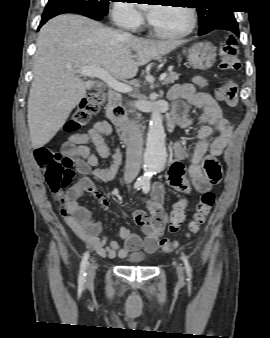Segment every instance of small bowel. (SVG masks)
I'll return each instance as SVG.
<instances>
[{"instance_id":"c3829d8e","label":"small bowel","mask_w":270,"mask_h":338,"mask_svg":"<svg viewBox=\"0 0 270 338\" xmlns=\"http://www.w3.org/2000/svg\"><path fill=\"white\" fill-rule=\"evenodd\" d=\"M207 79L197 76L192 83L177 84L172 87L169 99L173 103L174 113L170 120L183 128H190L194 120L185 117L182 109L186 104L199 108L201 113L196 118L200 124L198 129V141L193 147L190 163L186 168L183 160L187 157V150L182 141L173 146L175 160L167 170V184L177 192L184 194H202L211 190V186L220 180L219 174H213L204 170L202 163L206 159L220 157L227 148L233 134L229 125L225 129L219 128V122L223 118V110L215 97L206 92H198L197 88H205ZM217 136L212 139L214 132ZM113 132L111 123L107 120L97 121L87 133L72 134L62 146L63 157L71 158L80 178L71 185L66 193L58 197V202L69 227L93 249L99 256L113 259L116 256H124L127 252H140L152 254L157 250L159 238L165 221V212L162 206L164 187L160 182H155L152 188V198L147 203L149 218L141 223V216L146 212L140 209L134 210L131 217L142 225L144 238L130 232L123 227L120 230L124 239L122 245L118 241H110L102 237V224L94 219L90 212L84 209L79 200L84 194H91L103 209L108 208V201L97 191L93 178L100 181L111 180L120 165L121 154L115 149L111 151L105 137ZM89 144L96 148V154L92 153ZM99 158L109 160L107 167L97 168ZM189 174L191 180L188 185L185 175Z\"/></svg>"}]
</instances>
